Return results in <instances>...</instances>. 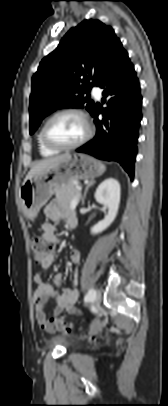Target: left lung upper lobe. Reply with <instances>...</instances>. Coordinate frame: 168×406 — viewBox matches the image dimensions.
I'll list each match as a JSON object with an SVG mask.
<instances>
[{
    "label": "left lung upper lobe",
    "mask_w": 168,
    "mask_h": 406,
    "mask_svg": "<svg viewBox=\"0 0 168 406\" xmlns=\"http://www.w3.org/2000/svg\"><path fill=\"white\" fill-rule=\"evenodd\" d=\"M122 50L114 30L99 20H84L71 28L32 78L30 134L59 108H85L92 115L96 105L84 94L99 86Z\"/></svg>",
    "instance_id": "5c2ea615"
}]
</instances>
